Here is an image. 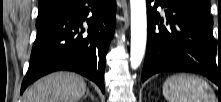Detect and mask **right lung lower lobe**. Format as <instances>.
<instances>
[{
    "mask_svg": "<svg viewBox=\"0 0 221 102\" xmlns=\"http://www.w3.org/2000/svg\"><path fill=\"white\" fill-rule=\"evenodd\" d=\"M115 13V0H72L36 24L21 94L38 78L59 70L88 77L104 93L105 58L115 31Z\"/></svg>",
    "mask_w": 221,
    "mask_h": 102,
    "instance_id": "right-lung-lower-lobe-1",
    "label": "right lung lower lobe"
}]
</instances>
